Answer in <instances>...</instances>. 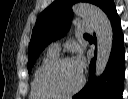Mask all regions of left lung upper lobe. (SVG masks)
Here are the masks:
<instances>
[{"instance_id": "obj_1", "label": "left lung upper lobe", "mask_w": 128, "mask_h": 99, "mask_svg": "<svg viewBox=\"0 0 128 99\" xmlns=\"http://www.w3.org/2000/svg\"><path fill=\"white\" fill-rule=\"evenodd\" d=\"M79 0H55L40 13L32 31L29 44L28 71L30 73L37 57L52 41L62 37L71 26L72 5ZM84 1V0H81ZM101 8L104 0H86Z\"/></svg>"}]
</instances>
